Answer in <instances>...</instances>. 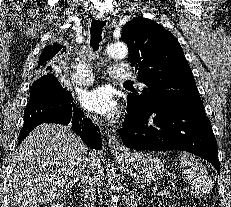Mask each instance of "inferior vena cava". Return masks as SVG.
Here are the masks:
<instances>
[{"label": "inferior vena cava", "instance_id": "inferior-vena-cava-1", "mask_svg": "<svg viewBox=\"0 0 231 207\" xmlns=\"http://www.w3.org/2000/svg\"><path fill=\"white\" fill-rule=\"evenodd\" d=\"M95 154L93 152L89 153L88 156V162L89 167L88 169L83 170V172L80 174L81 177V183H82V192L84 194V202L86 207H94L95 205V199H96V192L94 188V179L90 175L92 172L91 168V161L96 162V159L94 158ZM99 162V159L97 160V163Z\"/></svg>", "mask_w": 231, "mask_h": 207}]
</instances>
